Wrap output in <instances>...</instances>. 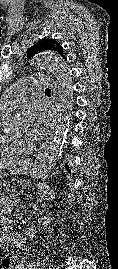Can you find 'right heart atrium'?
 <instances>
[{"label":"right heart atrium","instance_id":"d8ad5b80","mask_svg":"<svg viewBox=\"0 0 118 269\" xmlns=\"http://www.w3.org/2000/svg\"><path fill=\"white\" fill-rule=\"evenodd\" d=\"M15 139H16V141H17L19 144H21V143H25V140H24L23 138H21V137H17V136H15Z\"/></svg>","mask_w":118,"mask_h":269}]
</instances>
